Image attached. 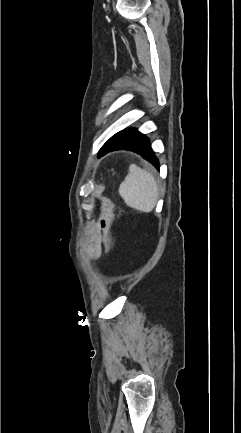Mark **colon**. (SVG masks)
I'll use <instances>...</instances> for the list:
<instances>
[{
  "label": "colon",
  "mask_w": 241,
  "mask_h": 433,
  "mask_svg": "<svg viewBox=\"0 0 241 433\" xmlns=\"http://www.w3.org/2000/svg\"><path fill=\"white\" fill-rule=\"evenodd\" d=\"M102 201H103V212L105 215V222H106L107 226L109 227L110 231L112 232V231H114V229L116 227V218L112 214V211H111L112 207H113V202L108 198H103ZM107 246L111 252L116 251L117 242H116V239L112 235L108 238Z\"/></svg>",
  "instance_id": "colon-1"
}]
</instances>
